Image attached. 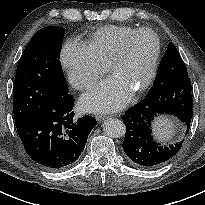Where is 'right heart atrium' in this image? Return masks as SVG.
Here are the masks:
<instances>
[{
	"label": "right heart atrium",
	"instance_id": "d8ad5b80",
	"mask_svg": "<svg viewBox=\"0 0 205 205\" xmlns=\"http://www.w3.org/2000/svg\"><path fill=\"white\" fill-rule=\"evenodd\" d=\"M60 61L69 82L78 90L91 88L106 71V66L97 60L89 47L77 39L66 41Z\"/></svg>",
	"mask_w": 205,
	"mask_h": 205
}]
</instances>
